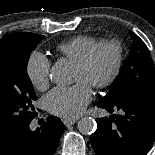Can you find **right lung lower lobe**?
Returning <instances> with one entry per match:
<instances>
[{
  "label": "right lung lower lobe",
  "instance_id": "right-lung-lower-lobe-1",
  "mask_svg": "<svg viewBox=\"0 0 155 155\" xmlns=\"http://www.w3.org/2000/svg\"><path fill=\"white\" fill-rule=\"evenodd\" d=\"M30 124V123H29ZM29 124L19 129L0 131V155H53L66 127L62 121L50 116L35 131Z\"/></svg>",
  "mask_w": 155,
  "mask_h": 155
}]
</instances>
